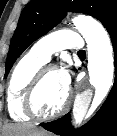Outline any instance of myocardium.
I'll return each mask as SVG.
<instances>
[{"mask_svg":"<svg viewBox=\"0 0 117 136\" xmlns=\"http://www.w3.org/2000/svg\"><path fill=\"white\" fill-rule=\"evenodd\" d=\"M56 67L53 65H45L41 67L38 72L34 75L33 79L31 80L30 84L28 85L25 95H24V103L23 109L27 115L30 117L39 120V121H47L54 118L59 117L62 115L70 106L71 104V92L68 90L66 98L62 104V106L55 112L47 115H43L38 112L36 107V94L41 86L42 82L44 81L45 77L50 71H55Z\"/></svg>","mask_w":117,"mask_h":136,"instance_id":"f54148a6","label":"myocardium"}]
</instances>
